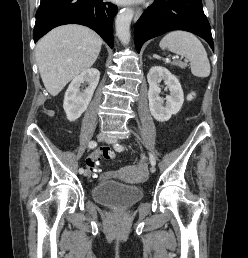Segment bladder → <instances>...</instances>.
Here are the masks:
<instances>
[{"label":"bladder","instance_id":"1","mask_svg":"<svg viewBox=\"0 0 248 258\" xmlns=\"http://www.w3.org/2000/svg\"><path fill=\"white\" fill-rule=\"evenodd\" d=\"M94 201L113 208H128L143 198L140 188L116 182H104L92 189Z\"/></svg>","mask_w":248,"mask_h":258}]
</instances>
